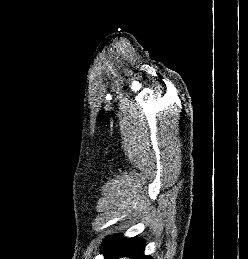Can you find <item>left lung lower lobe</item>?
I'll return each mask as SVG.
<instances>
[{
	"instance_id": "obj_1",
	"label": "left lung lower lobe",
	"mask_w": 248,
	"mask_h": 259,
	"mask_svg": "<svg viewBox=\"0 0 248 259\" xmlns=\"http://www.w3.org/2000/svg\"><path fill=\"white\" fill-rule=\"evenodd\" d=\"M102 252L105 259H117L124 256L132 259H151L144 255V243L139 238L110 237L104 242Z\"/></svg>"
}]
</instances>
